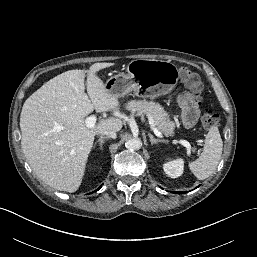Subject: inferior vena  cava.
<instances>
[{
    "instance_id": "602c4592",
    "label": "inferior vena cava",
    "mask_w": 257,
    "mask_h": 257,
    "mask_svg": "<svg viewBox=\"0 0 257 257\" xmlns=\"http://www.w3.org/2000/svg\"><path fill=\"white\" fill-rule=\"evenodd\" d=\"M99 134L100 137H107L112 139H115L117 137L116 132L111 130L101 131Z\"/></svg>"
}]
</instances>
